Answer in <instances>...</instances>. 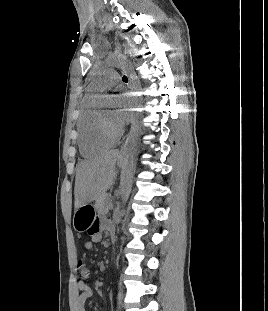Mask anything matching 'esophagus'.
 <instances>
[{
    "label": "esophagus",
    "mask_w": 268,
    "mask_h": 311,
    "mask_svg": "<svg viewBox=\"0 0 268 311\" xmlns=\"http://www.w3.org/2000/svg\"><path fill=\"white\" fill-rule=\"evenodd\" d=\"M131 136H132V133H131V131H130L129 134H128V136H127V139L125 140V142L123 143V145H122V147H121V149H120L119 154H120L121 156H123V155L126 153L127 146H128V142H129V139L131 138Z\"/></svg>",
    "instance_id": "obj_1"
}]
</instances>
